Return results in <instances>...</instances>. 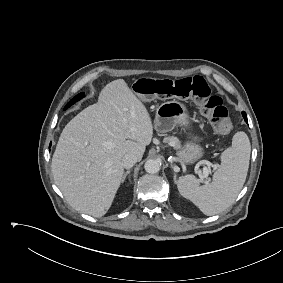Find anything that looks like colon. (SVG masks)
I'll return each mask as SVG.
<instances>
[{
	"label": "colon",
	"instance_id": "obj_1",
	"mask_svg": "<svg viewBox=\"0 0 283 283\" xmlns=\"http://www.w3.org/2000/svg\"><path fill=\"white\" fill-rule=\"evenodd\" d=\"M133 90L144 101L170 97L192 99L199 104L216 133L226 135L231 130L229 110L223 105L222 99L212 92L207 81L200 76L176 81L141 78L134 84Z\"/></svg>",
	"mask_w": 283,
	"mask_h": 283
}]
</instances>
